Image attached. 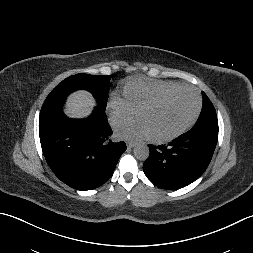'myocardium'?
Segmentation results:
<instances>
[{
	"instance_id": "f54148a6",
	"label": "myocardium",
	"mask_w": 253,
	"mask_h": 253,
	"mask_svg": "<svg viewBox=\"0 0 253 253\" xmlns=\"http://www.w3.org/2000/svg\"><path fill=\"white\" fill-rule=\"evenodd\" d=\"M180 91H188V92L193 93L196 96L197 106H196V109H195L192 117L183 126H181L179 129H177L175 132H173L169 135L161 136V137L150 136L151 141H153L155 143L170 142V141L178 138L182 134H184L196 122V120L200 114L201 108H202V99H201L200 94L194 88L189 87V86H184V85L177 86L171 90H168V91L158 95L157 97L153 98L152 100L148 101L147 103L143 104L137 110V116L139 117L144 111L159 105L160 103L165 101L167 98L171 97L172 95H174Z\"/></svg>"
}]
</instances>
